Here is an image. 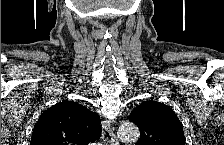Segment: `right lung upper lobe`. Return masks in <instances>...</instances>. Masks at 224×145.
Listing matches in <instances>:
<instances>
[{
    "label": "right lung upper lobe",
    "instance_id": "obj_1",
    "mask_svg": "<svg viewBox=\"0 0 224 145\" xmlns=\"http://www.w3.org/2000/svg\"><path fill=\"white\" fill-rule=\"evenodd\" d=\"M101 136L96 113L64 100L45 110L34 126L31 145H87Z\"/></svg>",
    "mask_w": 224,
    "mask_h": 145
}]
</instances>
